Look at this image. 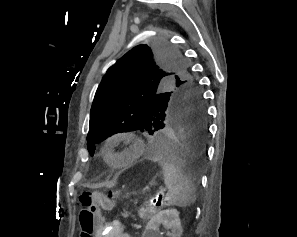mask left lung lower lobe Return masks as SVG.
Segmentation results:
<instances>
[{
  "instance_id": "1",
  "label": "left lung lower lobe",
  "mask_w": 297,
  "mask_h": 237,
  "mask_svg": "<svg viewBox=\"0 0 297 237\" xmlns=\"http://www.w3.org/2000/svg\"><path fill=\"white\" fill-rule=\"evenodd\" d=\"M161 122L146 143L144 155L167 157L191 168L199 166L209 134L205 106L193 100H178Z\"/></svg>"
}]
</instances>
